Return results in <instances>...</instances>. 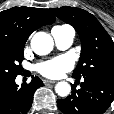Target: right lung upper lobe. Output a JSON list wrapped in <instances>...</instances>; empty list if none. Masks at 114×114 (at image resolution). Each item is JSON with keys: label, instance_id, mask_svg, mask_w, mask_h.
Listing matches in <instances>:
<instances>
[{"label": "right lung upper lobe", "instance_id": "cb5924a9", "mask_svg": "<svg viewBox=\"0 0 114 114\" xmlns=\"http://www.w3.org/2000/svg\"><path fill=\"white\" fill-rule=\"evenodd\" d=\"M55 17L49 9L13 7L0 12V40L25 45L30 34L41 26L52 24Z\"/></svg>", "mask_w": 114, "mask_h": 114}]
</instances>
